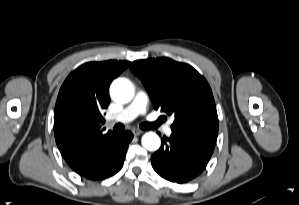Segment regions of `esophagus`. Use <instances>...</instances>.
<instances>
[{
  "label": "esophagus",
  "mask_w": 299,
  "mask_h": 205,
  "mask_svg": "<svg viewBox=\"0 0 299 205\" xmlns=\"http://www.w3.org/2000/svg\"><path fill=\"white\" fill-rule=\"evenodd\" d=\"M132 133H133L134 136H138V135L142 134L143 131H141V130H139V129H133V130H132Z\"/></svg>",
  "instance_id": "34e87169"
}]
</instances>
